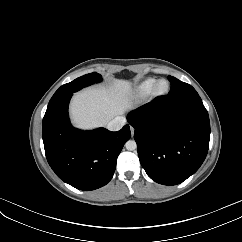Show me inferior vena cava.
I'll return each mask as SVG.
<instances>
[{"label": "inferior vena cava", "instance_id": "obj_1", "mask_svg": "<svg viewBox=\"0 0 242 242\" xmlns=\"http://www.w3.org/2000/svg\"><path fill=\"white\" fill-rule=\"evenodd\" d=\"M126 123V118L123 116H118L107 123V129L110 131L120 130Z\"/></svg>", "mask_w": 242, "mask_h": 242}]
</instances>
